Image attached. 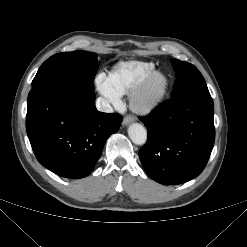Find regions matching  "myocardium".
<instances>
[{"instance_id": "obj_1", "label": "myocardium", "mask_w": 247, "mask_h": 247, "mask_svg": "<svg viewBox=\"0 0 247 247\" xmlns=\"http://www.w3.org/2000/svg\"><path fill=\"white\" fill-rule=\"evenodd\" d=\"M159 85H157V83ZM169 77L161 71L155 70L147 79L135 89L130 96V104L134 111L149 113L153 111L165 98L169 89Z\"/></svg>"}]
</instances>
